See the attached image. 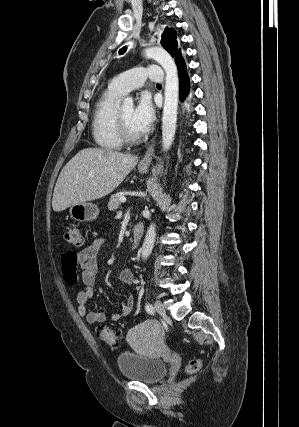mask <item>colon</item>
<instances>
[{
    "instance_id": "1",
    "label": "colon",
    "mask_w": 299,
    "mask_h": 427,
    "mask_svg": "<svg viewBox=\"0 0 299 427\" xmlns=\"http://www.w3.org/2000/svg\"><path fill=\"white\" fill-rule=\"evenodd\" d=\"M65 241L73 246H81L83 243L81 229L78 225H71L68 227L64 233ZM98 337L110 345H118L120 342V336L118 333L112 329L100 327L98 329ZM201 367V361L199 359L191 360L187 365V372L194 373L198 371Z\"/></svg>"
}]
</instances>
